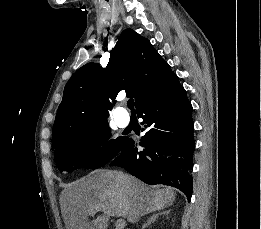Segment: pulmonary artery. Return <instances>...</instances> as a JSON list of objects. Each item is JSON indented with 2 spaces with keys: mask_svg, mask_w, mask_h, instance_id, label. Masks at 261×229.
Segmentation results:
<instances>
[{
  "mask_svg": "<svg viewBox=\"0 0 261 229\" xmlns=\"http://www.w3.org/2000/svg\"><path fill=\"white\" fill-rule=\"evenodd\" d=\"M116 117L120 122L125 123L128 120L129 114L125 108L118 107L116 109Z\"/></svg>",
  "mask_w": 261,
  "mask_h": 229,
  "instance_id": "1",
  "label": "pulmonary artery"
}]
</instances>
